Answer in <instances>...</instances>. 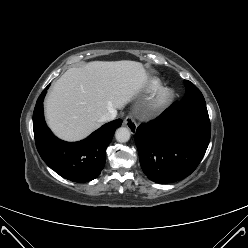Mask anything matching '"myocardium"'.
<instances>
[{
    "label": "myocardium",
    "mask_w": 248,
    "mask_h": 248,
    "mask_svg": "<svg viewBox=\"0 0 248 248\" xmlns=\"http://www.w3.org/2000/svg\"><path fill=\"white\" fill-rule=\"evenodd\" d=\"M172 91L168 88L159 89L152 97L149 103V110L151 112H158L163 109L171 100Z\"/></svg>",
    "instance_id": "f54148a6"
}]
</instances>
